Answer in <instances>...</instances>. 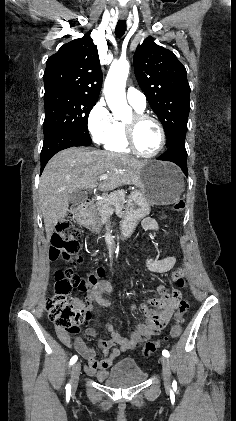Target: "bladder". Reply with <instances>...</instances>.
Segmentation results:
<instances>
[{
  "mask_svg": "<svg viewBox=\"0 0 236 421\" xmlns=\"http://www.w3.org/2000/svg\"><path fill=\"white\" fill-rule=\"evenodd\" d=\"M147 379L134 358H123L106 373L103 382L109 386H129L140 384Z\"/></svg>",
  "mask_w": 236,
  "mask_h": 421,
  "instance_id": "31cf9c89",
  "label": "bladder"
}]
</instances>
